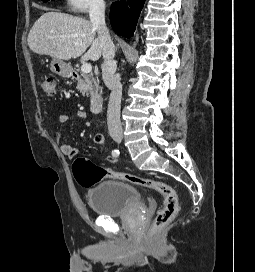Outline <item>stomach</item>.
Here are the masks:
<instances>
[{"instance_id": "stomach-1", "label": "stomach", "mask_w": 255, "mask_h": 272, "mask_svg": "<svg viewBox=\"0 0 255 272\" xmlns=\"http://www.w3.org/2000/svg\"><path fill=\"white\" fill-rule=\"evenodd\" d=\"M50 69L53 73L62 77H71L72 75L71 66L60 59H53L50 65Z\"/></svg>"}]
</instances>
